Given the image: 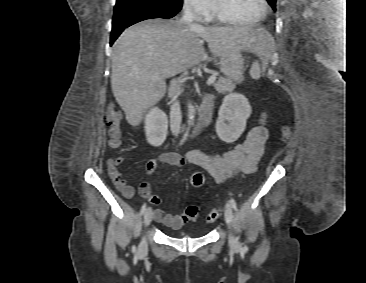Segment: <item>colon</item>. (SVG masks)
<instances>
[{
  "label": "colon",
  "instance_id": "5ec220e1",
  "mask_svg": "<svg viewBox=\"0 0 366 283\" xmlns=\"http://www.w3.org/2000/svg\"><path fill=\"white\" fill-rule=\"evenodd\" d=\"M106 125L109 130V136H110V146L111 147H119L121 145L122 141V134L120 130V120L121 116L120 113L115 110L114 108H110L106 114L105 117ZM291 136V130L290 128H284L282 132V139L284 141L288 140ZM189 182L191 186L198 188L201 187L204 184V176L200 172H195L191 174L189 178ZM220 216V210L219 209H212L206 216V221L208 223H212L215 220L218 219ZM200 217V211L195 206H190L184 215V218L186 220L196 221Z\"/></svg>",
  "mask_w": 366,
  "mask_h": 283
}]
</instances>
